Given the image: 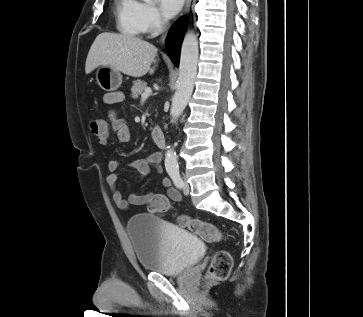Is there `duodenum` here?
<instances>
[{"label": "duodenum", "mask_w": 363, "mask_h": 317, "mask_svg": "<svg viewBox=\"0 0 363 317\" xmlns=\"http://www.w3.org/2000/svg\"><path fill=\"white\" fill-rule=\"evenodd\" d=\"M151 137L157 146H159L161 148L165 147L166 141H165V136H164L162 129L153 128L151 131Z\"/></svg>", "instance_id": "duodenum-1"}]
</instances>
